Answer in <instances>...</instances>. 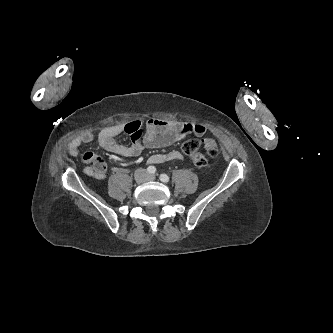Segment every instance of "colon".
Returning <instances> with one entry per match:
<instances>
[{
    "label": "colon",
    "instance_id": "obj_1",
    "mask_svg": "<svg viewBox=\"0 0 333 333\" xmlns=\"http://www.w3.org/2000/svg\"><path fill=\"white\" fill-rule=\"evenodd\" d=\"M201 145V141L196 138L189 139L186 141L183 146V152L190 156L197 167H206L209 163V159H216L218 157L217 146L210 145L206 149V155H203L198 152Z\"/></svg>",
    "mask_w": 333,
    "mask_h": 333
}]
</instances>
